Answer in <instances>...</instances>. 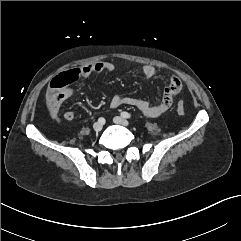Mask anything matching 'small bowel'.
Listing matches in <instances>:
<instances>
[{
    "instance_id": "c3829d8e",
    "label": "small bowel",
    "mask_w": 241,
    "mask_h": 241,
    "mask_svg": "<svg viewBox=\"0 0 241 241\" xmlns=\"http://www.w3.org/2000/svg\"><path fill=\"white\" fill-rule=\"evenodd\" d=\"M82 67L85 71L84 77L103 72H112L115 69V65L108 61H100L92 64H87ZM142 72L146 78H151L155 74L156 70L153 66L146 65L142 68ZM181 90V80L176 76H172L169 79L167 87L164 89L161 100L156 104H151L144 99L120 95H114L110 99L109 103L112 108H118L122 105H129L140 110L145 116L155 118L164 114L171 107L175 97L180 93ZM72 94L73 90L69 87H65L59 90L53 97L48 96L47 108L49 115L53 120L58 119L60 106L64 101L70 98ZM63 118L66 121H73L75 114L73 111L67 110L63 113Z\"/></svg>"
}]
</instances>
